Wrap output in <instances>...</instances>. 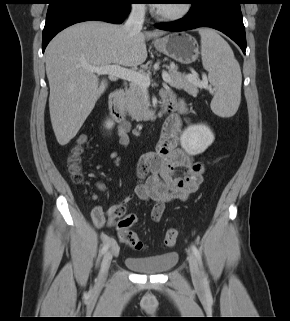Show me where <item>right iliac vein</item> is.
<instances>
[{
  "label": "right iliac vein",
  "mask_w": 290,
  "mask_h": 321,
  "mask_svg": "<svg viewBox=\"0 0 290 321\" xmlns=\"http://www.w3.org/2000/svg\"><path fill=\"white\" fill-rule=\"evenodd\" d=\"M112 257L113 253L111 251H107L102 259L101 268L97 279L98 286H102L106 281Z\"/></svg>",
  "instance_id": "1"
}]
</instances>
